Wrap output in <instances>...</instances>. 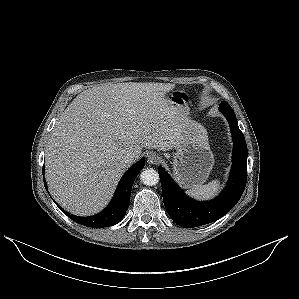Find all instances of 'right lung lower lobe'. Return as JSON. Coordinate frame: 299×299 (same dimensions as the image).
<instances>
[{"label": "right lung lower lobe", "mask_w": 299, "mask_h": 299, "mask_svg": "<svg viewBox=\"0 0 299 299\" xmlns=\"http://www.w3.org/2000/svg\"><path fill=\"white\" fill-rule=\"evenodd\" d=\"M144 164L145 159L142 158L123 175L110 204L99 214L90 217H78L75 215H70L59 205L58 207L73 221L86 227L102 228L115 225L122 220L129 207L132 185L134 183L135 177L144 167ZM44 185L47 189V183L45 180Z\"/></svg>", "instance_id": "obj_1"}]
</instances>
